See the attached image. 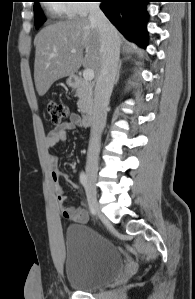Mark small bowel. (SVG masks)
<instances>
[{
  "instance_id": "small-bowel-1",
  "label": "small bowel",
  "mask_w": 195,
  "mask_h": 299,
  "mask_svg": "<svg viewBox=\"0 0 195 299\" xmlns=\"http://www.w3.org/2000/svg\"><path fill=\"white\" fill-rule=\"evenodd\" d=\"M78 126H80V117L78 114L72 113L67 121L62 122L49 132L46 140L48 148L53 149L64 143L67 139L68 132ZM49 166L61 215L73 222L86 223L89 219L88 212L84 208L69 207L67 205L68 198L59 184V180L61 179L70 182L69 176L59 170L57 161L54 157L49 158Z\"/></svg>"
}]
</instances>
